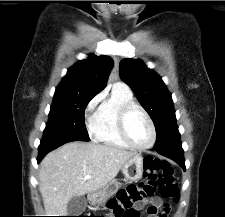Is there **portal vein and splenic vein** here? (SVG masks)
<instances>
[{
  "mask_svg": "<svg viewBox=\"0 0 225 217\" xmlns=\"http://www.w3.org/2000/svg\"><path fill=\"white\" fill-rule=\"evenodd\" d=\"M84 178L89 179V178H91V175H86Z\"/></svg>",
  "mask_w": 225,
  "mask_h": 217,
  "instance_id": "1",
  "label": "portal vein and splenic vein"
}]
</instances>
